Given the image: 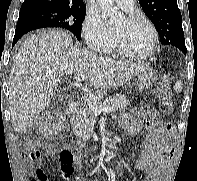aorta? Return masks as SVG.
Listing matches in <instances>:
<instances>
[{
    "instance_id": "aorta-1",
    "label": "aorta",
    "mask_w": 197,
    "mask_h": 181,
    "mask_svg": "<svg viewBox=\"0 0 197 181\" xmlns=\"http://www.w3.org/2000/svg\"><path fill=\"white\" fill-rule=\"evenodd\" d=\"M97 3L110 23L123 20V15L114 6V0H97Z\"/></svg>"
}]
</instances>
